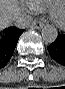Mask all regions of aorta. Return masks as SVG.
<instances>
[{
  "instance_id": "aorta-1",
  "label": "aorta",
  "mask_w": 65,
  "mask_h": 89,
  "mask_svg": "<svg viewBox=\"0 0 65 89\" xmlns=\"http://www.w3.org/2000/svg\"><path fill=\"white\" fill-rule=\"evenodd\" d=\"M42 38L46 43H53L57 36V29L52 25H45L41 31Z\"/></svg>"
}]
</instances>
